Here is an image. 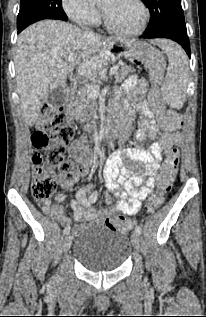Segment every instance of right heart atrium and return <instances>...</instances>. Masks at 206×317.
I'll list each match as a JSON object with an SVG mask.
<instances>
[{"label": "right heart atrium", "mask_w": 206, "mask_h": 317, "mask_svg": "<svg viewBox=\"0 0 206 317\" xmlns=\"http://www.w3.org/2000/svg\"><path fill=\"white\" fill-rule=\"evenodd\" d=\"M67 16L77 24H93L99 19L98 8L88 0H62Z\"/></svg>", "instance_id": "1"}]
</instances>
